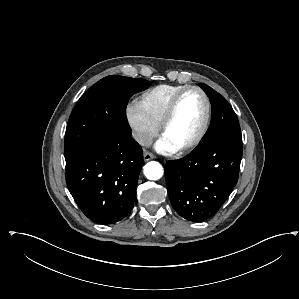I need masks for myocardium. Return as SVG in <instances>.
<instances>
[{
	"mask_svg": "<svg viewBox=\"0 0 299 299\" xmlns=\"http://www.w3.org/2000/svg\"><path fill=\"white\" fill-rule=\"evenodd\" d=\"M189 91H196L202 96V98L204 100L205 111H204L203 121H202L201 126H200L199 130L197 131V133L187 143H185L182 146L177 147V151L180 153L191 150L192 148H194L201 142V140L204 138V136L208 130V127L210 124V119H211V103H210L209 97L206 94V92L197 86H186L185 88L180 90L173 97L170 104L168 105V107L161 119V122L159 124L161 136H163L166 128L168 127L171 120L173 119V117L177 111V108H178L181 98L183 97V95H185Z\"/></svg>",
	"mask_w": 299,
	"mask_h": 299,
	"instance_id": "myocardium-1",
	"label": "myocardium"
}]
</instances>
